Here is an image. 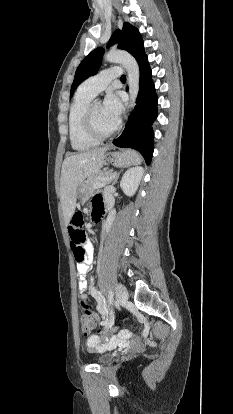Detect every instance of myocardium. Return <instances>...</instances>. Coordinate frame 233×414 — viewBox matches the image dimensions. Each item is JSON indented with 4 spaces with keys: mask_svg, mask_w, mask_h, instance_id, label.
<instances>
[{
    "mask_svg": "<svg viewBox=\"0 0 233 414\" xmlns=\"http://www.w3.org/2000/svg\"><path fill=\"white\" fill-rule=\"evenodd\" d=\"M92 108H93V105L89 104L83 115V128H84L85 133L90 138L97 140V141L106 140L114 136L120 129V122L118 121L115 127L111 131L107 133H101L96 129L94 125Z\"/></svg>",
    "mask_w": 233,
    "mask_h": 414,
    "instance_id": "f54148a6",
    "label": "myocardium"
}]
</instances>
